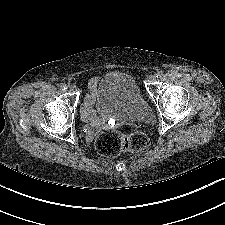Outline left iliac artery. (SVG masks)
I'll return each mask as SVG.
<instances>
[{"label":"left iliac artery","mask_w":225,"mask_h":225,"mask_svg":"<svg viewBox=\"0 0 225 225\" xmlns=\"http://www.w3.org/2000/svg\"><path fill=\"white\" fill-rule=\"evenodd\" d=\"M163 74H164L163 71H158L156 75H157V77H161V76H163Z\"/></svg>","instance_id":"left-iliac-artery-1"}]
</instances>
